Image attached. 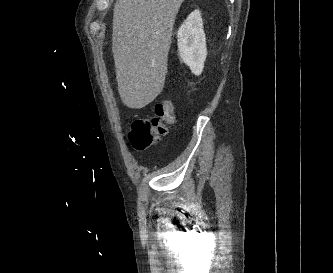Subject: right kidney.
<instances>
[{
	"mask_svg": "<svg viewBox=\"0 0 333 273\" xmlns=\"http://www.w3.org/2000/svg\"><path fill=\"white\" fill-rule=\"evenodd\" d=\"M181 60L195 75H200L207 56L206 39L199 10L193 11L181 25L177 34Z\"/></svg>",
	"mask_w": 333,
	"mask_h": 273,
	"instance_id": "right-kidney-1",
	"label": "right kidney"
}]
</instances>
